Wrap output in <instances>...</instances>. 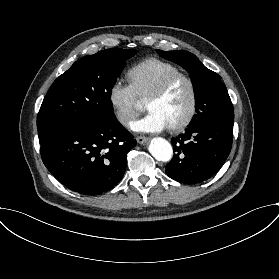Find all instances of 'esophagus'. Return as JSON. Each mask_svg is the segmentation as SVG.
<instances>
[{"label":"esophagus","mask_w":279,"mask_h":279,"mask_svg":"<svg viewBox=\"0 0 279 279\" xmlns=\"http://www.w3.org/2000/svg\"><path fill=\"white\" fill-rule=\"evenodd\" d=\"M136 140H137V142H138L139 144H146L147 141H148V138L143 137V136H138V137L136 138Z\"/></svg>","instance_id":"1"}]
</instances>
